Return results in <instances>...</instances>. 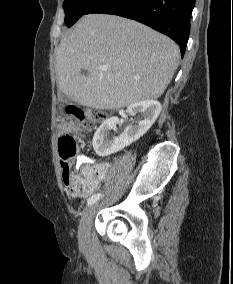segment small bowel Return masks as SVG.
Instances as JSON below:
<instances>
[{
    "label": "small bowel",
    "mask_w": 233,
    "mask_h": 284,
    "mask_svg": "<svg viewBox=\"0 0 233 284\" xmlns=\"http://www.w3.org/2000/svg\"><path fill=\"white\" fill-rule=\"evenodd\" d=\"M76 163L82 168L85 173L92 176L93 189L90 193L97 190L104 180L110 165L106 162H94L85 155H79L76 158Z\"/></svg>",
    "instance_id": "obj_1"
}]
</instances>
